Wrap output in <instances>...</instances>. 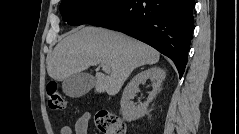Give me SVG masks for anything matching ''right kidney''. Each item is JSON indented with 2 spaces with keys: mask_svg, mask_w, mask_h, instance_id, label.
Instances as JSON below:
<instances>
[{
  "mask_svg": "<svg viewBox=\"0 0 239 134\" xmlns=\"http://www.w3.org/2000/svg\"><path fill=\"white\" fill-rule=\"evenodd\" d=\"M165 77V71L159 67L149 68L133 77V79L125 87L120 102L123 118L126 121L130 122L139 119L146 114L149 102H151L159 92L161 83ZM147 79L151 80L153 89L149 93L147 102L135 106L130 100L134 97L139 85Z\"/></svg>",
  "mask_w": 239,
  "mask_h": 134,
  "instance_id": "1",
  "label": "right kidney"
}]
</instances>
